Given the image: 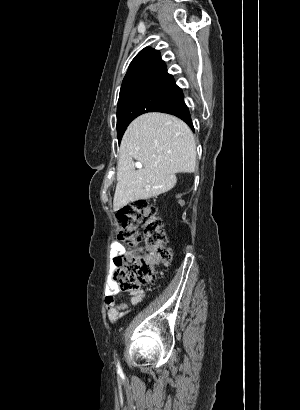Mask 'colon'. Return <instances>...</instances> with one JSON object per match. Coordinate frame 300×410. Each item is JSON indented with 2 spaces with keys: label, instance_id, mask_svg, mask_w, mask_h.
I'll list each match as a JSON object with an SVG mask.
<instances>
[{
  "label": "colon",
  "instance_id": "1",
  "mask_svg": "<svg viewBox=\"0 0 300 410\" xmlns=\"http://www.w3.org/2000/svg\"><path fill=\"white\" fill-rule=\"evenodd\" d=\"M121 238L130 244L143 243L145 253H125L115 259L113 285L120 291H133L156 283L161 269L171 263L163 222L152 203L139 200L117 214Z\"/></svg>",
  "mask_w": 300,
  "mask_h": 410
}]
</instances>
